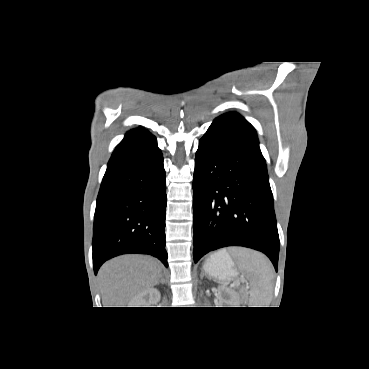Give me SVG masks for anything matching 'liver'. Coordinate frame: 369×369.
I'll list each match as a JSON object with an SVG mask.
<instances>
[{"mask_svg": "<svg viewBox=\"0 0 369 369\" xmlns=\"http://www.w3.org/2000/svg\"><path fill=\"white\" fill-rule=\"evenodd\" d=\"M162 265L150 256L124 255L107 261L98 277L103 307H123L160 280Z\"/></svg>", "mask_w": 369, "mask_h": 369, "instance_id": "6515ba94", "label": "liver"}]
</instances>
